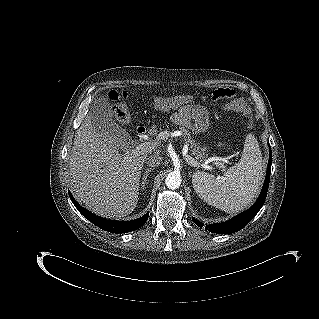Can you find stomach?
Listing matches in <instances>:
<instances>
[{
  "label": "stomach",
  "instance_id": "obj_1",
  "mask_svg": "<svg viewBox=\"0 0 319 319\" xmlns=\"http://www.w3.org/2000/svg\"><path fill=\"white\" fill-rule=\"evenodd\" d=\"M183 125L196 133L207 131L209 115L203 108H191L183 113Z\"/></svg>",
  "mask_w": 319,
  "mask_h": 319
}]
</instances>
